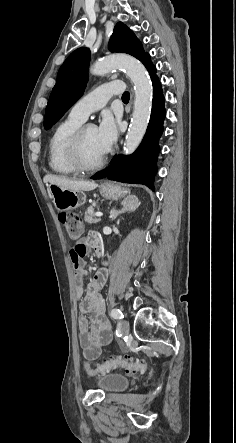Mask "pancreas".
<instances>
[{"label": "pancreas", "instance_id": "1", "mask_svg": "<svg viewBox=\"0 0 236 443\" xmlns=\"http://www.w3.org/2000/svg\"><path fill=\"white\" fill-rule=\"evenodd\" d=\"M84 220L88 224L97 223L100 221V219L94 217V207L89 206L87 208V211L85 212Z\"/></svg>", "mask_w": 236, "mask_h": 443}]
</instances>
